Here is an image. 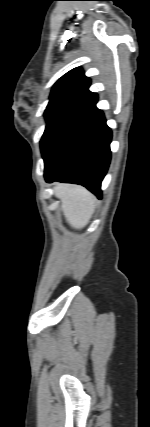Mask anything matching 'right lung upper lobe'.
I'll return each mask as SVG.
<instances>
[{
  "instance_id": "right-lung-upper-lobe-1",
  "label": "right lung upper lobe",
  "mask_w": 150,
  "mask_h": 427,
  "mask_svg": "<svg viewBox=\"0 0 150 427\" xmlns=\"http://www.w3.org/2000/svg\"><path fill=\"white\" fill-rule=\"evenodd\" d=\"M90 79L81 68H74L54 85L47 109L67 108L84 110L97 102L98 96L88 90Z\"/></svg>"
}]
</instances>
